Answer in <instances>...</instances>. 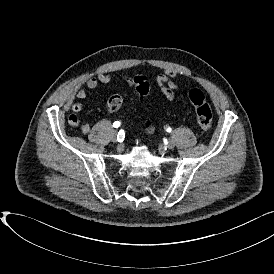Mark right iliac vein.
I'll use <instances>...</instances> for the list:
<instances>
[{
  "label": "right iliac vein",
  "instance_id": "63e3f726",
  "mask_svg": "<svg viewBox=\"0 0 274 274\" xmlns=\"http://www.w3.org/2000/svg\"><path fill=\"white\" fill-rule=\"evenodd\" d=\"M111 139H112L113 142H117V134H116V133H113Z\"/></svg>",
  "mask_w": 274,
  "mask_h": 274
}]
</instances>
